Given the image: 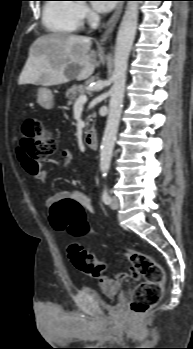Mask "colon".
Here are the masks:
<instances>
[{"label":"colon","instance_id":"colon-1","mask_svg":"<svg viewBox=\"0 0 193 349\" xmlns=\"http://www.w3.org/2000/svg\"><path fill=\"white\" fill-rule=\"evenodd\" d=\"M22 130L20 151L27 159V167L35 170L40 162L45 161L56 152L57 140L36 118H28ZM84 217V208L72 200L56 202L51 207L50 222L53 228L71 236H79L87 231ZM118 251L130 261L143 279L135 289L130 301L131 312L136 316H141L161 299L165 282L164 269L146 253L125 247H118ZM68 255L73 265L81 272L96 278L102 277L106 268L104 262L78 242H72L68 246Z\"/></svg>","mask_w":193,"mask_h":349}]
</instances>
